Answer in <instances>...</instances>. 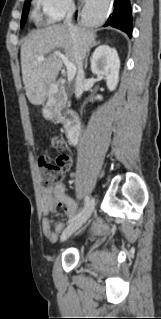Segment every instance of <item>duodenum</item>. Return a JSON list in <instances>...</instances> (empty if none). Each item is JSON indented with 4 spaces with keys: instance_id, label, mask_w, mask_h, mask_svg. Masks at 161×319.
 Segmentation results:
<instances>
[{
    "instance_id": "410a0bca",
    "label": "duodenum",
    "mask_w": 161,
    "mask_h": 319,
    "mask_svg": "<svg viewBox=\"0 0 161 319\" xmlns=\"http://www.w3.org/2000/svg\"><path fill=\"white\" fill-rule=\"evenodd\" d=\"M59 99L55 98L54 103H58ZM51 103H44L43 108L47 116H51ZM66 137L70 145L77 144L81 133L80 120L76 113L71 112L69 118L65 121Z\"/></svg>"
}]
</instances>
